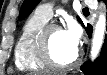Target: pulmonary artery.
<instances>
[{"mask_svg":"<svg viewBox=\"0 0 107 75\" xmlns=\"http://www.w3.org/2000/svg\"><path fill=\"white\" fill-rule=\"evenodd\" d=\"M37 13L40 14L43 18L49 20L53 14V4L51 2L41 4L37 8Z\"/></svg>","mask_w":107,"mask_h":75,"instance_id":"pulmonary-artery-1","label":"pulmonary artery"}]
</instances>
